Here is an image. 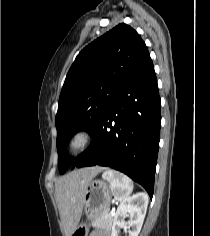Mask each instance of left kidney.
<instances>
[{
  "mask_svg": "<svg viewBox=\"0 0 210 236\" xmlns=\"http://www.w3.org/2000/svg\"><path fill=\"white\" fill-rule=\"evenodd\" d=\"M147 206L148 196L143 192L122 201L114 214L111 236H118L121 228H127L129 236H138L143 225ZM127 215L130 216L128 223L124 221Z\"/></svg>",
  "mask_w": 210,
  "mask_h": 236,
  "instance_id": "1",
  "label": "left kidney"
}]
</instances>
